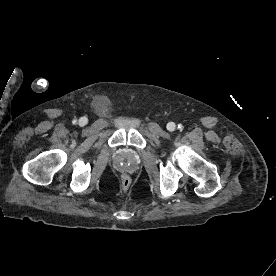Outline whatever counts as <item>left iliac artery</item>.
Instances as JSON below:
<instances>
[{
  "label": "left iliac artery",
  "instance_id": "obj_1",
  "mask_svg": "<svg viewBox=\"0 0 276 276\" xmlns=\"http://www.w3.org/2000/svg\"><path fill=\"white\" fill-rule=\"evenodd\" d=\"M178 128H179L180 130H182V129H183V126H182V125H178Z\"/></svg>",
  "mask_w": 276,
  "mask_h": 276
}]
</instances>
